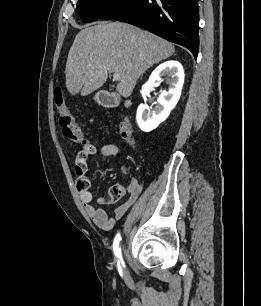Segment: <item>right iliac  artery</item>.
<instances>
[{
    "mask_svg": "<svg viewBox=\"0 0 261 306\" xmlns=\"http://www.w3.org/2000/svg\"><path fill=\"white\" fill-rule=\"evenodd\" d=\"M120 240H121V235L120 233H118L113 242V250L119 268H121L120 264L124 265V261L121 254V247H119Z\"/></svg>",
    "mask_w": 261,
    "mask_h": 306,
    "instance_id": "82829eb1",
    "label": "right iliac artery"
}]
</instances>
